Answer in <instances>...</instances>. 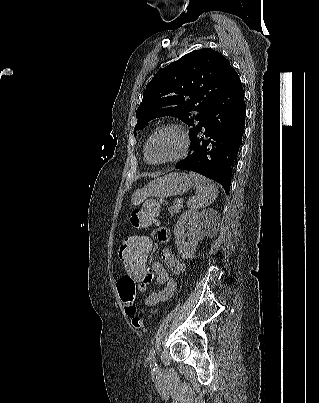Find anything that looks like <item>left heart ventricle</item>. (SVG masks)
I'll return each mask as SVG.
<instances>
[{"mask_svg":"<svg viewBox=\"0 0 319 403\" xmlns=\"http://www.w3.org/2000/svg\"><path fill=\"white\" fill-rule=\"evenodd\" d=\"M180 143L177 132L173 130L161 132L149 145L148 159L155 162L169 158L179 150Z\"/></svg>","mask_w":319,"mask_h":403,"instance_id":"left-heart-ventricle-1","label":"left heart ventricle"}]
</instances>
